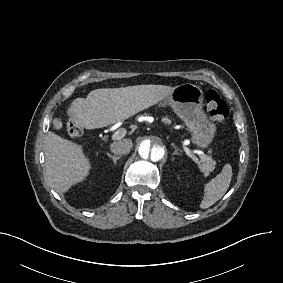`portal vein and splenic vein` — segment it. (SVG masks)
<instances>
[{"instance_id":"portal-vein-and-splenic-vein-1","label":"portal vein and splenic vein","mask_w":283,"mask_h":283,"mask_svg":"<svg viewBox=\"0 0 283 283\" xmlns=\"http://www.w3.org/2000/svg\"><path fill=\"white\" fill-rule=\"evenodd\" d=\"M121 132H126V130H125V129H120V130L116 131V132L113 134L112 139H113V140H118L119 138H121V137L123 136V134L120 135ZM183 149H184L185 153H186L189 157H191L195 163H198V162H199L198 158H197L195 155L192 154L191 150H190L188 147L183 146Z\"/></svg>"}]
</instances>
